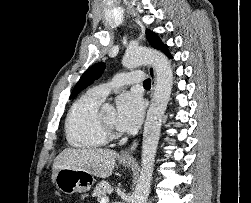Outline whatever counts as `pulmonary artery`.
Segmentation results:
<instances>
[{
	"label": "pulmonary artery",
	"mask_w": 251,
	"mask_h": 203,
	"mask_svg": "<svg viewBox=\"0 0 251 203\" xmlns=\"http://www.w3.org/2000/svg\"><path fill=\"white\" fill-rule=\"evenodd\" d=\"M143 80L144 74L142 72L119 73L110 82L92 87L88 93L100 100H104L113 88L125 84L140 83Z\"/></svg>",
	"instance_id": "obj_1"
}]
</instances>
